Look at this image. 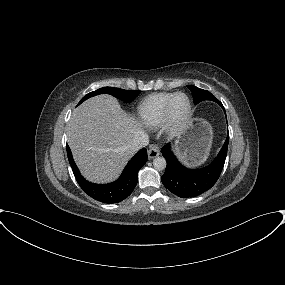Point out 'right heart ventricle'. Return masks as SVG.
Returning a JSON list of instances; mask_svg holds the SVG:
<instances>
[{"instance_id": "right-heart-ventricle-1", "label": "right heart ventricle", "mask_w": 285, "mask_h": 285, "mask_svg": "<svg viewBox=\"0 0 285 285\" xmlns=\"http://www.w3.org/2000/svg\"><path fill=\"white\" fill-rule=\"evenodd\" d=\"M175 93H158L146 97L138 107L139 117L149 127L160 126L165 118L166 107Z\"/></svg>"}]
</instances>
